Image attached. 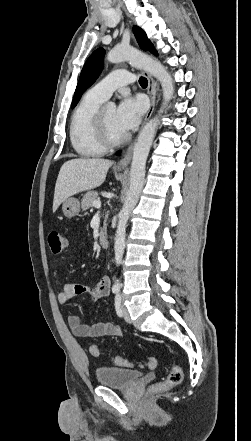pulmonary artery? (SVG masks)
<instances>
[{
	"label": "pulmonary artery",
	"instance_id": "obj_1",
	"mask_svg": "<svg viewBox=\"0 0 251 441\" xmlns=\"http://www.w3.org/2000/svg\"><path fill=\"white\" fill-rule=\"evenodd\" d=\"M135 81L134 75L126 70H115L92 87L97 95L108 99L111 94Z\"/></svg>",
	"mask_w": 251,
	"mask_h": 441
}]
</instances>
